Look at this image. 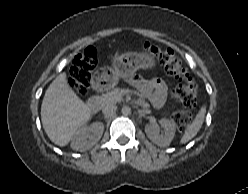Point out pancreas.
<instances>
[{
	"label": "pancreas",
	"mask_w": 248,
	"mask_h": 194,
	"mask_svg": "<svg viewBox=\"0 0 248 194\" xmlns=\"http://www.w3.org/2000/svg\"><path fill=\"white\" fill-rule=\"evenodd\" d=\"M123 97L119 88H115L99 97L101 105L115 104L122 101Z\"/></svg>",
	"instance_id": "obj_1"
}]
</instances>
